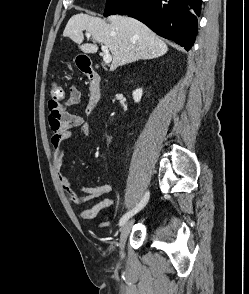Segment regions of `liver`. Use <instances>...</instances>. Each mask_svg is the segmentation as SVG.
Listing matches in <instances>:
<instances>
[{
    "mask_svg": "<svg viewBox=\"0 0 249 294\" xmlns=\"http://www.w3.org/2000/svg\"><path fill=\"white\" fill-rule=\"evenodd\" d=\"M109 23L98 17L79 13L72 16L63 32L78 44L86 54L98 51L96 42L107 45L113 60L110 71L138 60L158 58L168 51V47L151 29L143 23L126 16H111ZM92 35L93 44H82L83 31Z\"/></svg>",
    "mask_w": 249,
    "mask_h": 294,
    "instance_id": "6515ba94",
    "label": "liver"
}]
</instances>
